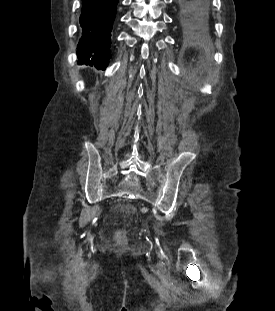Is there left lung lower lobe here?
<instances>
[{
    "mask_svg": "<svg viewBox=\"0 0 275 311\" xmlns=\"http://www.w3.org/2000/svg\"><path fill=\"white\" fill-rule=\"evenodd\" d=\"M179 24L183 33L205 31L209 27V0H178Z\"/></svg>",
    "mask_w": 275,
    "mask_h": 311,
    "instance_id": "1",
    "label": "left lung lower lobe"
}]
</instances>
